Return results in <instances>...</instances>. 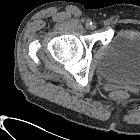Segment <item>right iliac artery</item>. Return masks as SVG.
<instances>
[{"mask_svg": "<svg viewBox=\"0 0 140 140\" xmlns=\"http://www.w3.org/2000/svg\"><path fill=\"white\" fill-rule=\"evenodd\" d=\"M91 24H92L91 20H87L86 26H89V25H91Z\"/></svg>", "mask_w": 140, "mask_h": 140, "instance_id": "1", "label": "right iliac artery"}]
</instances>
